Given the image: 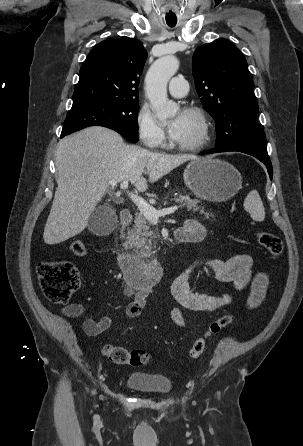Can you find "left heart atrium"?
I'll list each match as a JSON object with an SVG mask.
<instances>
[{"mask_svg": "<svg viewBox=\"0 0 303 446\" xmlns=\"http://www.w3.org/2000/svg\"><path fill=\"white\" fill-rule=\"evenodd\" d=\"M182 123H183V118L181 115L177 116L170 122L168 129H169V134L173 139H176L179 136L182 128Z\"/></svg>", "mask_w": 303, "mask_h": 446, "instance_id": "obj_1", "label": "left heart atrium"}]
</instances>
